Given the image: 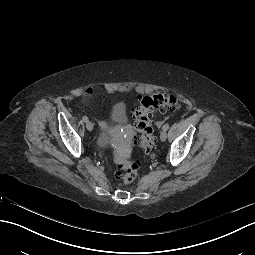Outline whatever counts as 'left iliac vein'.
Masks as SVG:
<instances>
[{
	"mask_svg": "<svg viewBox=\"0 0 255 255\" xmlns=\"http://www.w3.org/2000/svg\"><path fill=\"white\" fill-rule=\"evenodd\" d=\"M167 139V133L165 130H163L160 134V140L165 141Z\"/></svg>",
	"mask_w": 255,
	"mask_h": 255,
	"instance_id": "1",
	"label": "left iliac vein"
}]
</instances>
